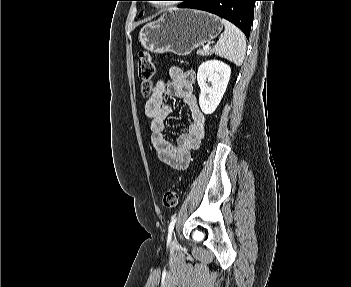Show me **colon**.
Wrapping results in <instances>:
<instances>
[{"mask_svg":"<svg viewBox=\"0 0 351 287\" xmlns=\"http://www.w3.org/2000/svg\"><path fill=\"white\" fill-rule=\"evenodd\" d=\"M156 73L155 61L148 52H140L138 55V76L141 80L142 92L145 96L152 93L153 78ZM179 194L175 190L167 191L163 196V205L166 208H175L178 205Z\"/></svg>","mask_w":351,"mask_h":287,"instance_id":"colon-1","label":"colon"}]
</instances>
